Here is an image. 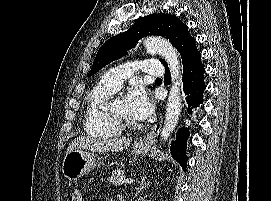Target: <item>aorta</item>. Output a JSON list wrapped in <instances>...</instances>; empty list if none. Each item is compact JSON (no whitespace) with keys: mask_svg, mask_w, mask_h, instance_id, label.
Wrapping results in <instances>:
<instances>
[{"mask_svg":"<svg viewBox=\"0 0 271 201\" xmlns=\"http://www.w3.org/2000/svg\"><path fill=\"white\" fill-rule=\"evenodd\" d=\"M143 45L150 53H159L168 63L171 73V87L167 100L165 121L160 133L165 141L175 130L181 113V66L176 49L164 38L150 36L143 39Z\"/></svg>","mask_w":271,"mask_h":201,"instance_id":"obj_1","label":"aorta"}]
</instances>
